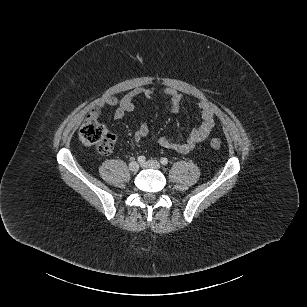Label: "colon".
<instances>
[{
    "instance_id": "obj_1",
    "label": "colon",
    "mask_w": 307,
    "mask_h": 307,
    "mask_svg": "<svg viewBox=\"0 0 307 307\" xmlns=\"http://www.w3.org/2000/svg\"><path fill=\"white\" fill-rule=\"evenodd\" d=\"M79 139L83 144L95 146L99 153L107 155L112 151L116 137L95 118L89 116L79 130ZM210 146L213 149H219L221 142L214 138L211 140Z\"/></svg>"
}]
</instances>
